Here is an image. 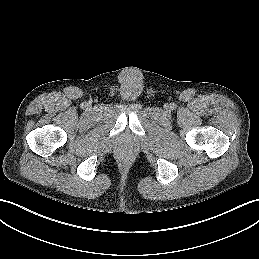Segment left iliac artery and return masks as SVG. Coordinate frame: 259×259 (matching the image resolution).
<instances>
[{
    "mask_svg": "<svg viewBox=\"0 0 259 259\" xmlns=\"http://www.w3.org/2000/svg\"><path fill=\"white\" fill-rule=\"evenodd\" d=\"M175 107H176V105L173 103V104L171 105V108L174 109Z\"/></svg>",
    "mask_w": 259,
    "mask_h": 259,
    "instance_id": "left-iliac-artery-1",
    "label": "left iliac artery"
}]
</instances>
